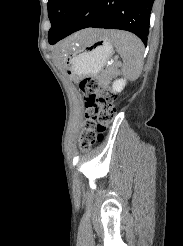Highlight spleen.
I'll list each match as a JSON object with an SVG mask.
<instances>
[{"mask_svg":"<svg viewBox=\"0 0 183 246\" xmlns=\"http://www.w3.org/2000/svg\"><path fill=\"white\" fill-rule=\"evenodd\" d=\"M107 36L122 57L121 74L131 80H136L143 68L144 45L142 41L134 34L120 30H110Z\"/></svg>","mask_w":183,"mask_h":246,"instance_id":"3e777b00","label":"spleen"}]
</instances>
